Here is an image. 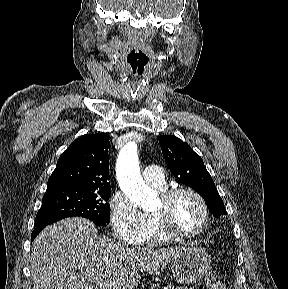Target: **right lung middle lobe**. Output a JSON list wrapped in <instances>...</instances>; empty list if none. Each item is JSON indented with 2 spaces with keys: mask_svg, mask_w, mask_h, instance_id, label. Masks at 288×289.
Wrapping results in <instances>:
<instances>
[{
  "mask_svg": "<svg viewBox=\"0 0 288 289\" xmlns=\"http://www.w3.org/2000/svg\"><path fill=\"white\" fill-rule=\"evenodd\" d=\"M110 193V187L47 190L36 215L34 228L71 216L85 217L97 225H105L110 220V207L107 203Z\"/></svg>",
  "mask_w": 288,
  "mask_h": 289,
  "instance_id": "dd1d6c3e",
  "label": "right lung middle lobe"
}]
</instances>
